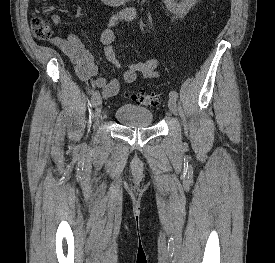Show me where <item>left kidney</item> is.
<instances>
[{"label":"left kidney","instance_id":"5707ae66","mask_svg":"<svg viewBox=\"0 0 275 263\" xmlns=\"http://www.w3.org/2000/svg\"><path fill=\"white\" fill-rule=\"evenodd\" d=\"M166 8L173 14L184 15L186 14L193 5H195L197 0H182L179 3L174 2V0H163Z\"/></svg>","mask_w":275,"mask_h":263}]
</instances>
